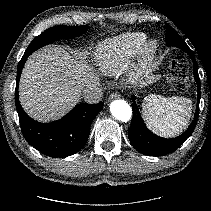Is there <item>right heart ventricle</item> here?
<instances>
[{
    "instance_id": "obj_1",
    "label": "right heart ventricle",
    "mask_w": 211,
    "mask_h": 211,
    "mask_svg": "<svg viewBox=\"0 0 211 211\" xmlns=\"http://www.w3.org/2000/svg\"><path fill=\"white\" fill-rule=\"evenodd\" d=\"M146 38L143 32H126L99 43L95 53L98 66L105 73L117 72L140 51Z\"/></svg>"
}]
</instances>
